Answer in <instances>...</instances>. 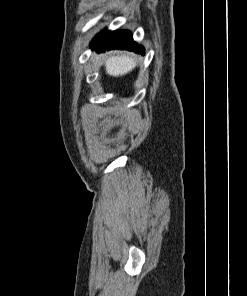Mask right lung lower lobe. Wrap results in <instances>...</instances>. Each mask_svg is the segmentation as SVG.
Masks as SVG:
<instances>
[{"label":"right lung lower lobe","mask_w":247,"mask_h":296,"mask_svg":"<svg viewBox=\"0 0 247 296\" xmlns=\"http://www.w3.org/2000/svg\"><path fill=\"white\" fill-rule=\"evenodd\" d=\"M98 52L113 49H125L144 54V48L133 41L129 31H103L91 43Z\"/></svg>","instance_id":"obj_1"}]
</instances>
